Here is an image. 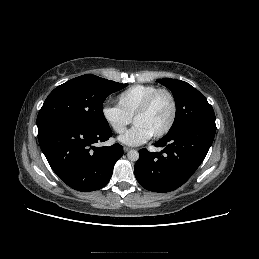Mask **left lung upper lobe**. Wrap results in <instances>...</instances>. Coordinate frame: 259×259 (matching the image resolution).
Wrapping results in <instances>:
<instances>
[{
    "mask_svg": "<svg viewBox=\"0 0 259 259\" xmlns=\"http://www.w3.org/2000/svg\"><path fill=\"white\" fill-rule=\"evenodd\" d=\"M157 82L172 91L176 103V116L169 132L191 125L216 129L213 108L197 89L181 80L158 79Z\"/></svg>",
    "mask_w": 259,
    "mask_h": 259,
    "instance_id": "left-lung-upper-lobe-1",
    "label": "left lung upper lobe"
}]
</instances>
